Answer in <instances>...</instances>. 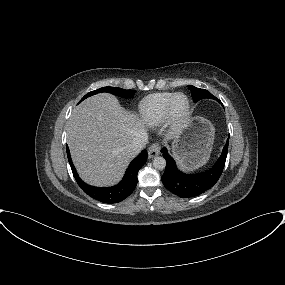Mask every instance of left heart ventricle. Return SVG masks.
Masks as SVG:
<instances>
[{"instance_id": "b2bd125f", "label": "left heart ventricle", "mask_w": 285, "mask_h": 285, "mask_svg": "<svg viewBox=\"0 0 285 285\" xmlns=\"http://www.w3.org/2000/svg\"><path fill=\"white\" fill-rule=\"evenodd\" d=\"M187 106V100L185 97L181 96L176 101V109L178 112H182L185 110Z\"/></svg>"}]
</instances>
